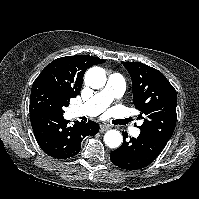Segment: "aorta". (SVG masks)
I'll return each instance as SVG.
<instances>
[{"label":"aorta","mask_w":199,"mask_h":199,"mask_svg":"<svg viewBox=\"0 0 199 199\" xmlns=\"http://www.w3.org/2000/svg\"><path fill=\"white\" fill-rule=\"evenodd\" d=\"M106 74L101 67H92L85 74V83L93 89L102 88L106 84ZM122 135L117 130H109L104 135V142L110 148H118L122 143Z\"/></svg>","instance_id":"obj_1"}]
</instances>
